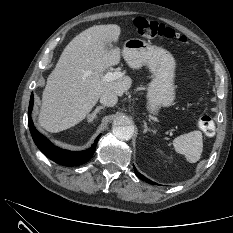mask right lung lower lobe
I'll return each mask as SVG.
<instances>
[{
	"instance_id": "obj_1",
	"label": "right lung lower lobe",
	"mask_w": 233,
	"mask_h": 233,
	"mask_svg": "<svg viewBox=\"0 0 233 233\" xmlns=\"http://www.w3.org/2000/svg\"><path fill=\"white\" fill-rule=\"evenodd\" d=\"M33 99L34 97L32 94L28 109V126L35 144L43 152V154H45L48 158H50L54 162L64 166H77L90 160V158L93 156L95 152L96 144L100 135L96 138L92 147L84 151L72 152L54 146L46 137L40 134L34 127L31 118Z\"/></svg>"
}]
</instances>
